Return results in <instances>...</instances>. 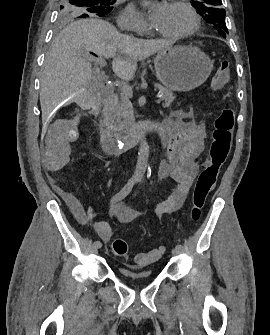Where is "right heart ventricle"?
<instances>
[{"mask_svg":"<svg viewBox=\"0 0 270 335\" xmlns=\"http://www.w3.org/2000/svg\"><path fill=\"white\" fill-rule=\"evenodd\" d=\"M159 78H173V77H159Z\"/></svg>","mask_w":270,"mask_h":335,"instance_id":"1","label":"right heart ventricle"}]
</instances>
